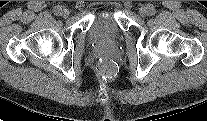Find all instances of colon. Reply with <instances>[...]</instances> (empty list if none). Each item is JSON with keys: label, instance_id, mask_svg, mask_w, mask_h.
I'll return each instance as SVG.
<instances>
[{"label": "colon", "instance_id": "5ec220e1", "mask_svg": "<svg viewBox=\"0 0 207 121\" xmlns=\"http://www.w3.org/2000/svg\"><path fill=\"white\" fill-rule=\"evenodd\" d=\"M100 72L104 75H110L115 71V64L109 59H105L100 65Z\"/></svg>", "mask_w": 207, "mask_h": 121}]
</instances>
